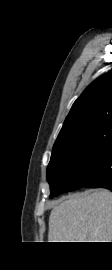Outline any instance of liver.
I'll list each match as a JSON object with an SVG mask.
<instances>
[{"mask_svg": "<svg viewBox=\"0 0 112 270\" xmlns=\"http://www.w3.org/2000/svg\"><path fill=\"white\" fill-rule=\"evenodd\" d=\"M49 242H111L112 192L99 189L70 195L49 217Z\"/></svg>", "mask_w": 112, "mask_h": 270, "instance_id": "6515ba94", "label": "liver"}]
</instances>
